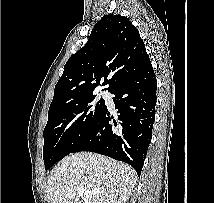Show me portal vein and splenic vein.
<instances>
[{"label": "portal vein and splenic vein", "instance_id": "obj_1", "mask_svg": "<svg viewBox=\"0 0 214 203\" xmlns=\"http://www.w3.org/2000/svg\"><path fill=\"white\" fill-rule=\"evenodd\" d=\"M78 195H79L82 199L86 200V199L89 197V195H90V191H88L87 189H84V188H80V189L78 190Z\"/></svg>", "mask_w": 214, "mask_h": 203}]
</instances>
